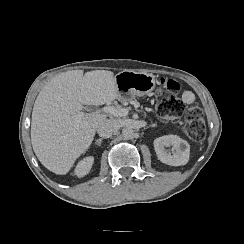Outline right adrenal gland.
<instances>
[{"mask_svg": "<svg viewBox=\"0 0 244 244\" xmlns=\"http://www.w3.org/2000/svg\"><path fill=\"white\" fill-rule=\"evenodd\" d=\"M97 140H100L101 141V143L104 141V138H99V139H97Z\"/></svg>", "mask_w": 244, "mask_h": 244, "instance_id": "right-adrenal-gland-1", "label": "right adrenal gland"}]
</instances>
